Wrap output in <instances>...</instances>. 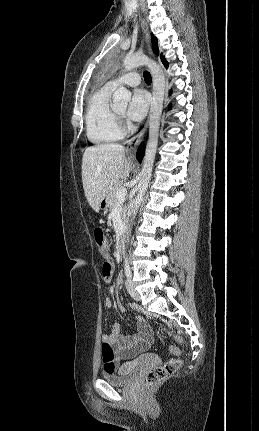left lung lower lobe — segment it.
Instances as JSON below:
<instances>
[{"mask_svg": "<svg viewBox=\"0 0 259 431\" xmlns=\"http://www.w3.org/2000/svg\"><path fill=\"white\" fill-rule=\"evenodd\" d=\"M161 60H162L163 64L165 65V67H168V63L164 59V57H161ZM143 155H144V146H143V144H141L140 147H139V150L137 152V159H138L139 162H141V160L143 158Z\"/></svg>", "mask_w": 259, "mask_h": 431, "instance_id": "1", "label": "left lung lower lobe"}]
</instances>
